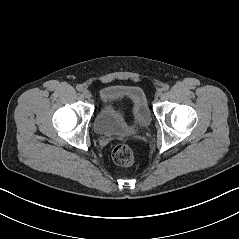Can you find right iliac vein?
Here are the masks:
<instances>
[{"mask_svg": "<svg viewBox=\"0 0 239 239\" xmlns=\"http://www.w3.org/2000/svg\"><path fill=\"white\" fill-rule=\"evenodd\" d=\"M82 94H83V96L85 97V98H90V92L87 90V89H83L82 90Z\"/></svg>", "mask_w": 239, "mask_h": 239, "instance_id": "1", "label": "right iliac vein"}]
</instances>
